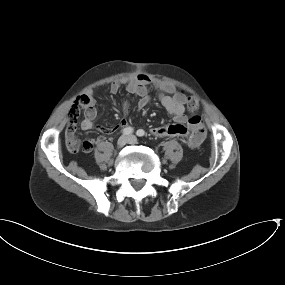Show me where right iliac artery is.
I'll return each instance as SVG.
<instances>
[{
	"mask_svg": "<svg viewBox=\"0 0 285 285\" xmlns=\"http://www.w3.org/2000/svg\"><path fill=\"white\" fill-rule=\"evenodd\" d=\"M122 133L124 135H129V134H132L133 133V128L132 127H127L125 129L122 130Z\"/></svg>",
	"mask_w": 285,
	"mask_h": 285,
	"instance_id": "1",
	"label": "right iliac artery"
}]
</instances>
